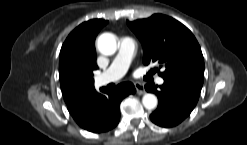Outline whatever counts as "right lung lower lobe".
<instances>
[{
    "instance_id": "obj_1",
    "label": "right lung lower lobe",
    "mask_w": 247,
    "mask_h": 145,
    "mask_svg": "<svg viewBox=\"0 0 247 145\" xmlns=\"http://www.w3.org/2000/svg\"><path fill=\"white\" fill-rule=\"evenodd\" d=\"M104 94L95 89L67 105L68 111L85 130L94 133L108 131L114 128L120 119L119 104L129 94L136 92L132 83L117 85L113 90L101 89Z\"/></svg>"
}]
</instances>
